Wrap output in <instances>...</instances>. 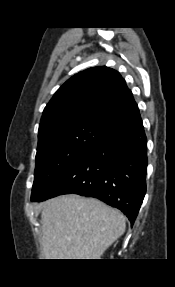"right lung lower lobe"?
I'll list each match as a JSON object with an SVG mask.
<instances>
[{"label": "right lung lower lobe", "mask_w": 175, "mask_h": 287, "mask_svg": "<svg viewBox=\"0 0 175 287\" xmlns=\"http://www.w3.org/2000/svg\"><path fill=\"white\" fill-rule=\"evenodd\" d=\"M146 169L147 139L138 112L118 122L31 200L68 193L95 197L121 210L133 224L146 193Z\"/></svg>", "instance_id": "98d812e1"}]
</instances>
